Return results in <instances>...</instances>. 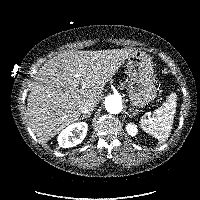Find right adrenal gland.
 Returning a JSON list of instances; mask_svg holds the SVG:
<instances>
[{"mask_svg": "<svg viewBox=\"0 0 200 200\" xmlns=\"http://www.w3.org/2000/svg\"><path fill=\"white\" fill-rule=\"evenodd\" d=\"M91 113H88L87 115H82L80 120L86 119V118H90Z\"/></svg>", "mask_w": 200, "mask_h": 200, "instance_id": "2a0ac1e0", "label": "right adrenal gland"}]
</instances>
